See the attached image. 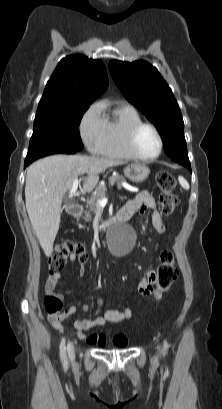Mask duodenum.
I'll return each instance as SVG.
<instances>
[{"mask_svg":"<svg viewBox=\"0 0 222 409\" xmlns=\"http://www.w3.org/2000/svg\"><path fill=\"white\" fill-rule=\"evenodd\" d=\"M82 211H83V207L80 205H74L70 207V213L74 217L79 216L82 213ZM130 217H131L130 212L120 209L112 216L111 219H109L108 221H104L102 224H107L109 222H123V221L128 220Z\"/></svg>","mask_w":222,"mask_h":409,"instance_id":"410a0bca","label":"duodenum"}]
</instances>
